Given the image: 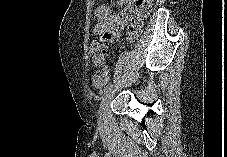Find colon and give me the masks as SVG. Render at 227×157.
Instances as JSON below:
<instances>
[{
  "mask_svg": "<svg viewBox=\"0 0 227 157\" xmlns=\"http://www.w3.org/2000/svg\"><path fill=\"white\" fill-rule=\"evenodd\" d=\"M153 8V0H136L135 2V13L131 19V23L129 26L128 34L131 38H134L144 20L150 15ZM105 41V39H104ZM106 46L103 41L94 40L90 47V55L92 57V61L96 66H102L106 57ZM109 69L107 67H103L102 70L96 73L93 77V84L96 89H103L109 81Z\"/></svg>",
  "mask_w": 227,
  "mask_h": 157,
  "instance_id": "1",
  "label": "colon"
}]
</instances>
